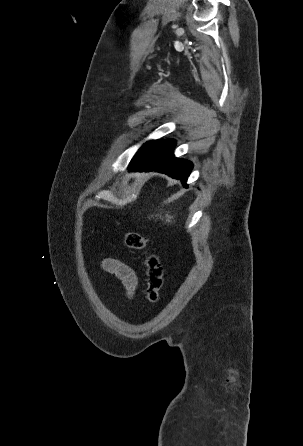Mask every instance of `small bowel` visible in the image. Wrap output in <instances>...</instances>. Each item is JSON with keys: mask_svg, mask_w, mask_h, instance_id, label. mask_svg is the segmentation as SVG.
Returning a JSON list of instances; mask_svg holds the SVG:
<instances>
[{"mask_svg": "<svg viewBox=\"0 0 303 446\" xmlns=\"http://www.w3.org/2000/svg\"><path fill=\"white\" fill-rule=\"evenodd\" d=\"M102 267L105 271L114 274L121 280L129 295L133 293L137 285V277L131 267L115 259L104 260Z\"/></svg>", "mask_w": 303, "mask_h": 446, "instance_id": "small-bowel-1", "label": "small bowel"}]
</instances>
